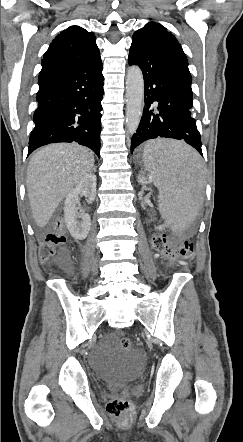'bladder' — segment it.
Masks as SVG:
<instances>
[{
	"label": "bladder",
	"mask_w": 243,
	"mask_h": 442,
	"mask_svg": "<svg viewBox=\"0 0 243 442\" xmlns=\"http://www.w3.org/2000/svg\"><path fill=\"white\" fill-rule=\"evenodd\" d=\"M143 368V360L137 355L120 354L117 368L110 379L111 388H122L136 380Z\"/></svg>",
	"instance_id": "bladder-1"
}]
</instances>
